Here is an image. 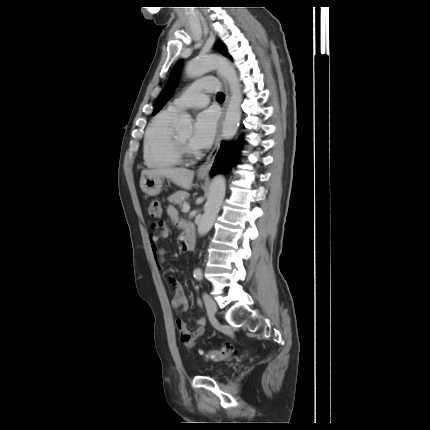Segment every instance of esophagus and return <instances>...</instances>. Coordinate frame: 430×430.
Here are the masks:
<instances>
[{
	"label": "esophagus",
	"mask_w": 430,
	"mask_h": 430,
	"mask_svg": "<svg viewBox=\"0 0 430 430\" xmlns=\"http://www.w3.org/2000/svg\"><path fill=\"white\" fill-rule=\"evenodd\" d=\"M221 79L223 81L224 91H225V101H224L223 106H222V118H221V121H220V124L218 127V132H217L214 147H213L212 151L210 152V154L208 155L206 161L197 170V174L200 176H207L208 175L211 167L214 164L215 158L217 156V153L219 151L220 144H221V125H222V122L224 120L227 105L229 102V91H228L227 82L224 78H221Z\"/></svg>",
	"instance_id": "34e87169"
}]
</instances>
